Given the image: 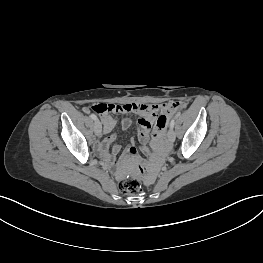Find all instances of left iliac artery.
<instances>
[{
  "label": "left iliac artery",
  "instance_id": "obj_1",
  "mask_svg": "<svg viewBox=\"0 0 263 263\" xmlns=\"http://www.w3.org/2000/svg\"><path fill=\"white\" fill-rule=\"evenodd\" d=\"M175 125V119L173 118L170 122V128L173 129Z\"/></svg>",
  "mask_w": 263,
  "mask_h": 263
}]
</instances>
